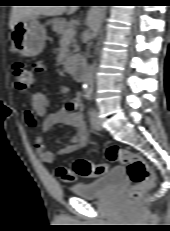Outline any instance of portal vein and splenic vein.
<instances>
[{
    "label": "portal vein and splenic vein",
    "instance_id": "obj_1",
    "mask_svg": "<svg viewBox=\"0 0 170 231\" xmlns=\"http://www.w3.org/2000/svg\"><path fill=\"white\" fill-rule=\"evenodd\" d=\"M75 35V30L73 28L67 29L64 33L63 39L69 40L71 37Z\"/></svg>",
    "mask_w": 170,
    "mask_h": 231
}]
</instances>
